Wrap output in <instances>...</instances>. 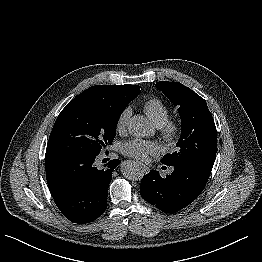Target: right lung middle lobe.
<instances>
[{"label": "right lung middle lobe", "mask_w": 262, "mask_h": 262, "mask_svg": "<svg viewBox=\"0 0 262 262\" xmlns=\"http://www.w3.org/2000/svg\"><path fill=\"white\" fill-rule=\"evenodd\" d=\"M131 100L111 102L82 92L60 112L46 152L99 154L112 143L120 115Z\"/></svg>", "instance_id": "obj_1"}]
</instances>
